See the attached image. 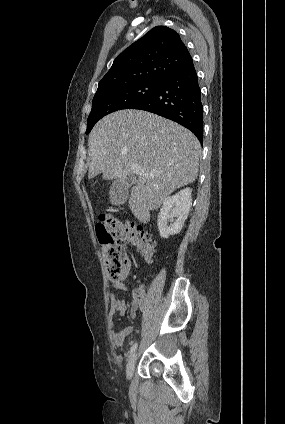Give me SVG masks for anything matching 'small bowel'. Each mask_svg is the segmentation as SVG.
<instances>
[{
    "mask_svg": "<svg viewBox=\"0 0 285 424\" xmlns=\"http://www.w3.org/2000/svg\"><path fill=\"white\" fill-rule=\"evenodd\" d=\"M130 270V263L127 261L125 270L121 277L117 280L112 281L113 289L116 291L111 294L110 297V308L109 317L111 325L113 327V343L117 347H122L126 338L131 332V326H125L121 329L117 328L113 322L116 316L124 315L127 311V305L125 302V295L127 292V286L124 282L128 272ZM132 302L129 310V316L135 318L138 312H144L147 310L149 302L145 294V288L142 285L135 287L132 290Z\"/></svg>",
    "mask_w": 285,
    "mask_h": 424,
    "instance_id": "c3829d8e",
    "label": "small bowel"
}]
</instances>
